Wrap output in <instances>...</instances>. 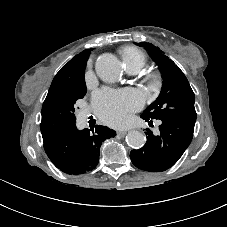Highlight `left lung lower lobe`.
<instances>
[{"label": "left lung lower lobe", "mask_w": 227, "mask_h": 227, "mask_svg": "<svg viewBox=\"0 0 227 227\" xmlns=\"http://www.w3.org/2000/svg\"><path fill=\"white\" fill-rule=\"evenodd\" d=\"M141 118L150 120L143 115ZM159 120L162 122L159 126L160 134L154 135L150 129H146V144L130 153L132 163L149 172H162L172 167L191 143L194 132L195 122L177 117Z\"/></svg>", "instance_id": "obj_1"}]
</instances>
